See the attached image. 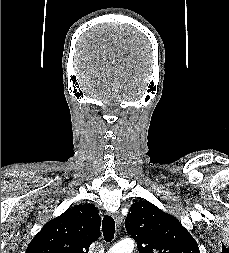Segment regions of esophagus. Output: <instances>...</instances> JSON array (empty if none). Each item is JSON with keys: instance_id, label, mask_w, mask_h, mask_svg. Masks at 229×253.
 <instances>
[{"instance_id": "obj_1", "label": "esophagus", "mask_w": 229, "mask_h": 253, "mask_svg": "<svg viewBox=\"0 0 229 253\" xmlns=\"http://www.w3.org/2000/svg\"><path fill=\"white\" fill-rule=\"evenodd\" d=\"M113 218L118 226H120L122 224V218L118 212L113 213Z\"/></svg>"}]
</instances>
